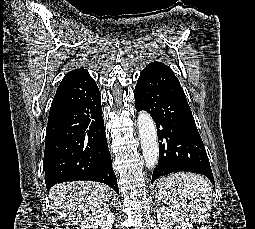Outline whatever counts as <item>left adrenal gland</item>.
<instances>
[{
	"label": "left adrenal gland",
	"instance_id": "a2214340",
	"mask_svg": "<svg viewBox=\"0 0 255 229\" xmlns=\"http://www.w3.org/2000/svg\"><path fill=\"white\" fill-rule=\"evenodd\" d=\"M159 203H160V199L158 198V204L157 205H159Z\"/></svg>",
	"mask_w": 255,
	"mask_h": 229
}]
</instances>
